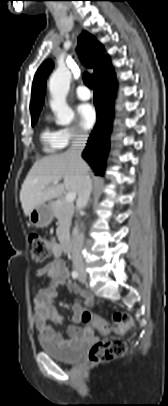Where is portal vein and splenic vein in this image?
I'll list each match as a JSON object with an SVG mask.
<instances>
[{
  "instance_id": "18ae733b",
  "label": "portal vein and splenic vein",
  "mask_w": 168,
  "mask_h": 406,
  "mask_svg": "<svg viewBox=\"0 0 168 406\" xmlns=\"http://www.w3.org/2000/svg\"><path fill=\"white\" fill-rule=\"evenodd\" d=\"M58 182L55 181L53 184L56 185ZM76 198V194L74 192H69L66 197H65V201L68 203H72Z\"/></svg>"
}]
</instances>
